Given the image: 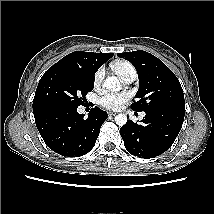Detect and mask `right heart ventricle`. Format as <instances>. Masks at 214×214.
<instances>
[{
    "label": "right heart ventricle",
    "mask_w": 214,
    "mask_h": 214,
    "mask_svg": "<svg viewBox=\"0 0 214 214\" xmlns=\"http://www.w3.org/2000/svg\"><path fill=\"white\" fill-rule=\"evenodd\" d=\"M130 67H133L130 63L128 62H125V61H119V62H116L112 65V68L113 70L116 72V74H118L120 77L122 75V73L130 68Z\"/></svg>",
    "instance_id": "e07e8e85"
}]
</instances>
